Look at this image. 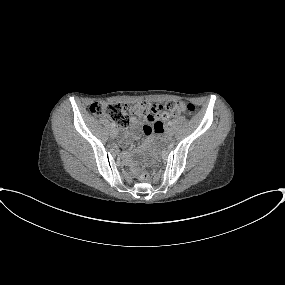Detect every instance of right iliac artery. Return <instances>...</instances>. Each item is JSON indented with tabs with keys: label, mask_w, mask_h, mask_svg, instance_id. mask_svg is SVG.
I'll list each match as a JSON object with an SVG mask.
<instances>
[{
	"label": "right iliac artery",
	"mask_w": 285,
	"mask_h": 285,
	"mask_svg": "<svg viewBox=\"0 0 285 285\" xmlns=\"http://www.w3.org/2000/svg\"><path fill=\"white\" fill-rule=\"evenodd\" d=\"M111 127H112V128H115V124H114V123H111Z\"/></svg>",
	"instance_id": "obj_1"
}]
</instances>
